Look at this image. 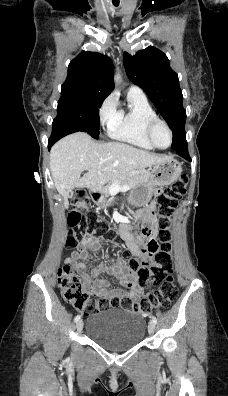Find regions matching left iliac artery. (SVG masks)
I'll return each mask as SVG.
<instances>
[{"label":"left iliac artery","mask_w":228,"mask_h":396,"mask_svg":"<svg viewBox=\"0 0 228 396\" xmlns=\"http://www.w3.org/2000/svg\"><path fill=\"white\" fill-rule=\"evenodd\" d=\"M152 321L156 324L157 323V319L155 316L152 317Z\"/></svg>","instance_id":"1"}]
</instances>
